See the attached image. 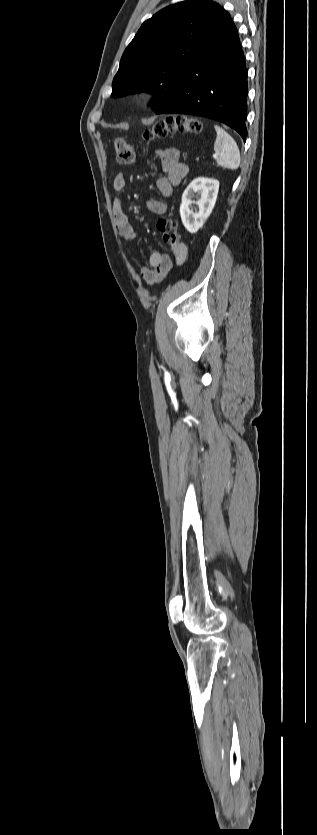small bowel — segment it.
I'll list each match as a JSON object with an SVG mask.
<instances>
[{"mask_svg":"<svg viewBox=\"0 0 317 835\" xmlns=\"http://www.w3.org/2000/svg\"><path fill=\"white\" fill-rule=\"evenodd\" d=\"M160 159L164 176L156 180V187L159 193L164 197L171 196L173 187L181 184L183 179L189 172L187 164L182 163L179 158V151L176 148L169 147L157 151ZM127 185L126 177L123 173H118L113 180V188L116 192H122ZM147 208L155 214H163L166 212V204L160 199H149L146 203ZM112 215L116 230L119 235L128 242H133L136 239V232L123 210L120 198L114 200L112 206ZM174 261L168 254L160 252H153L147 264L141 268L140 276L147 284H153L161 280L174 264L181 265L187 259L188 251L184 244H176L171 247Z\"/></svg>","mask_w":317,"mask_h":835,"instance_id":"small-bowel-1","label":"small bowel"}]
</instances>
